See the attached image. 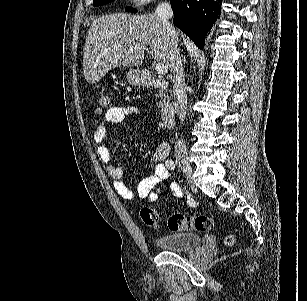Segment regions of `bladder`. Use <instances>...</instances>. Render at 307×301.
Returning a JSON list of instances; mask_svg holds the SVG:
<instances>
[{
	"mask_svg": "<svg viewBox=\"0 0 307 301\" xmlns=\"http://www.w3.org/2000/svg\"><path fill=\"white\" fill-rule=\"evenodd\" d=\"M203 238L194 233L176 232L165 236L158 235L155 243L161 251H188L192 246H199Z\"/></svg>",
	"mask_w": 307,
	"mask_h": 301,
	"instance_id": "31cf9c89",
	"label": "bladder"
}]
</instances>
